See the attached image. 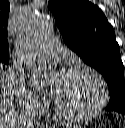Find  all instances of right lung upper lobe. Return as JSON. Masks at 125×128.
<instances>
[{"label":"right lung upper lobe","instance_id":"1","mask_svg":"<svg viewBox=\"0 0 125 128\" xmlns=\"http://www.w3.org/2000/svg\"><path fill=\"white\" fill-rule=\"evenodd\" d=\"M10 3L0 0V58H9V45L7 41V25Z\"/></svg>","mask_w":125,"mask_h":128}]
</instances>
